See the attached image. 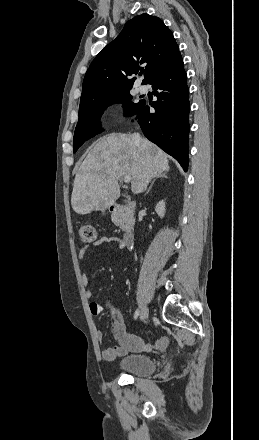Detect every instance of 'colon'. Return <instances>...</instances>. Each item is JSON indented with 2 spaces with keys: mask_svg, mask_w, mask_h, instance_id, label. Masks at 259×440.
<instances>
[{
  "mask_svg": "<svg viewBox=\"0 0 259 440\" xmlns=\"http://www.w3.org/2000/svg\"><path fill=\"white\" fill-rule=\"evenodd\" d=\"M96 230L95 227L89 223L84 222L79 227V238L84 243H91L96 239Z\"/></svg>",
  "mask_w": 259,
  "mask_h": 440,
  "instance_id": "1",
  "label": "colon"
}]
</instances>
